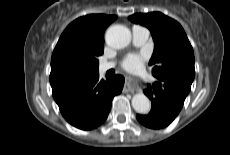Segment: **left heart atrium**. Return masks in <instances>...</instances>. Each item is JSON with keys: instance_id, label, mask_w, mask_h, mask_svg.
Returning <instances> with one entry per match:
<instances>
[{"instance_id": "obj_1", "label": "left heart atrium", "mask_w": 230, "mask_h": 155, "mask_svg": "<svg viewBox=\"0 0 230 155\" xmlns=\"http://www.w3.org/2000/svg\"><path fill=\"white\" fill-rule=\"evenodd\" d=\"M144 60H145L144 55L137 54V53H131V54L126 55L122 59L121 66L123 69L127 71H135L141 68Z\"/></svg>"}]
</instances>
